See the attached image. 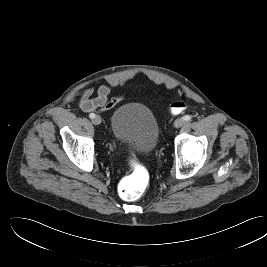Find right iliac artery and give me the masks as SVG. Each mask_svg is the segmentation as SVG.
Here are the masks:
<instances>
[{
	"label": "right iliac artery",
	"instance_id": "82829eb1",
	"mask_svg": "<svg viewBox=\"0 0 267 267\" xmlns=\"http://www.w3.org/2000/svg\"><path fill=\"white\" fill-rule=\"evenodd\" d=\"M89 117H90V118H94V117H95V114H94V113H90V114H89Z\"/></svg>",
	"mask_w": 267,
	"mask_h": 267
}]
</instances>
